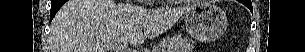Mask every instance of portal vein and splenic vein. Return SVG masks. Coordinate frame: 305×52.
<instances>
[{
	"mask_svg": "<svg viewBox=\"0 0 305 52\" xmlns=\"http://www.w3.org/2000/svg\"><path fill=\"white\" fill-rule=\"evenodd\" d=\"M109 47L110 49H113V50H119V46L117 45V43H109Z\"/></svg>",
	"mask_w": 305,
	"mask_h": 52,
	"instance_id": "portal-vein-and-splenic-vein-1",
	"label": "portal vein and splenic vein"
}]
</instances>
